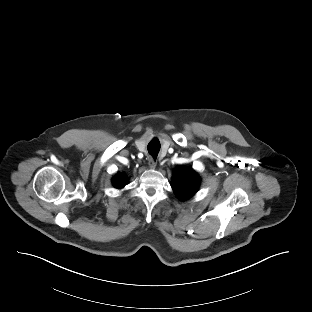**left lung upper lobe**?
Segmentation results:
<instances>
[{"label": "left lung upper lobe", "instance_id": "1", "mask_svg": "<svg viewBox=\"0 0 312 312\" xmlns=\"http://www.w3.org/2000/svg\"><path fill=\"white\" fill-rule=\"evenodd\" d=\"M200 185V179L193 169L177 167L173 171L172 188L182 200H187L195 194Z\"/></svg>", "mask_w": 312, "mask_h": 312}]
</instances>
